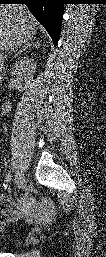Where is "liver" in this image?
<instances>
[{"label": "liver", "mask_w": 106, "mask_h": 257, "mask_svg": "<svg viewBox=\"0 0 106 257\" xmlns=\"http://www.w3.org/2000/svg\"><path fill=\"white\" fill-rule=\"evenodd\" d=\"M37 21L24 5H1L0 7V50L7 52L33 41Z\"/></svg>", "instance_id": "1"}]
</instances>
